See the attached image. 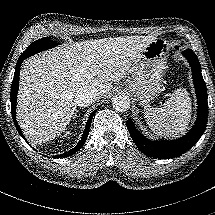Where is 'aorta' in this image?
Here are the masks:
<instances>
[{
  "label": "aorta",
  "mask_w": 215,
  "mask_h": 215,
  "mask_svg": "<svg viewBox=\"0 0 215 215\" xmlns=\"http://www.w3.org/2000/svg\"><path fill=\"white\" fill-rule=\"evenodd\" d=\"M115 111L125 112L130 109V99L125 95H116L112 100Z\"/></svg>",
  "instance_id": "obj_1"
}]
</instances>
